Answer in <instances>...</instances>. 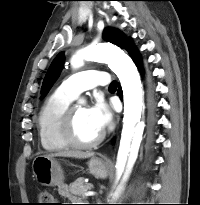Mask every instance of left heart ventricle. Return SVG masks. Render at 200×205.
<instances>
[{
  "label": "left heart ventricle",
  "mask_w": 200,
  "mask_h": 205,
  "mask_svg": "<svg viewBox=\"0 0 200 205\" xmlns=\"http://www.w3.org/2000/svg\"><path fill=\"white\" fill-rule=\"evenodd\" d=\"M74 132L77 139L83 142L92 141L101 133L84 105H78L75 110Z\"/></svg>",
  "instance_id": "obj_1"
}]
</instances>
